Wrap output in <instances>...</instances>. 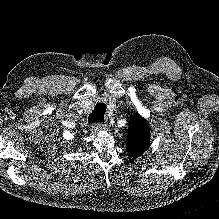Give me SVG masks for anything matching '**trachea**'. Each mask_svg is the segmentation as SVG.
Listing matches in <instances>:
<instances>
[{
    "label": "trachea",
    "mask_w": 219,
    "mask_h": 219,
    "mask_svg": "<svg viewBox=\"0 0 219 219\" xmlns=\"http://www.w3.org/2000/svg\"><path fill=\"white\" fill-rule=\"evenodd\" d=\"M106 112V105L104 103H97L94 110L89 114L88 123H101L104 121V113Z\"/></svg>",
    "instance_id": "trachea-1"
}]
</instances>
